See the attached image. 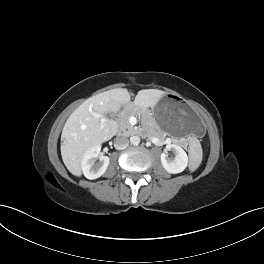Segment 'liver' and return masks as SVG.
Here are the masks:
<instances>
[{"mask_svg": "<svg viewBox=\"0 0 264 264\" xmlns=\"http://www.w3.org/2000/svg\"><path fill=\"white\" fill-rule=\"evenodd\" d=\"M164 95L165 92L161 90H141L133 106L142 109L154 107ZM130 97L126 89H112L87 99L69 116L61 134V155L70 173L81 176V162L85 152L110 140L117 133L116 121L106 119L101 127V119L92 116L91 111L101 115L118 112L121 106L130 104Z\"/></svg>", "mask_w": 264, "mask_h": 264, "instance_id": "liver-1", "label": "liver"}]
</instances>
